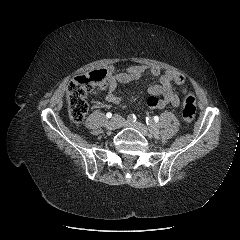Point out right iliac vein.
Segmentation results:
<instances>
[{"mask_svg": "<svg viewBox=\"0 0 240 240\" xmlns=\"http://www.w3.org/2000/svg\"><path fill=\"white\" fill-rule=\"evenodd\" d=\"M124 120L119 117V116H115L113 117L107 124V129L110 131L116 130L118 128H120L123 124Z\"/></svg>", "mask_w": 240, "mask_h": 240, "instance_id": "63e3f726", "label": "right iliac vein"}]
</instances>
